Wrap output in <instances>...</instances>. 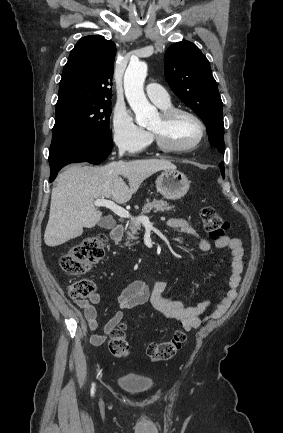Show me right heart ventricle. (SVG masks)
Here are the masks:
<instances>
[{
  "mask_svg": "<svg viewBox=\"0 0 283 433\" xmlns=\"http://www.w3.org/2000/svg\"><path fill=\"white\" fill-rule=\"evenodd\" d=\"M168 108H171V104L169 103L168 105H166V106H162L161 107V109H163V110H166V109H168Z\"/></svg>",
  "mask_w": 283,
  "mask_h": 433,
  "instance_id": "1",
  "label": "right heart ventricle"
}]
</instances>
